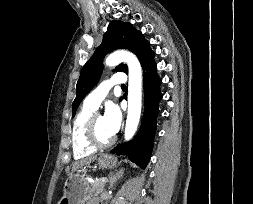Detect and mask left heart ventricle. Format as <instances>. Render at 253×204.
<instances>
[{
    "label": "left heart ventricle",
    "instance_id": "left-heart-ventricle-1",
    "mask_svg": "<svg viewBox=\"0 0 253 204\" xmlns=\"http://www.w3.org/2000/svg\"><path fill=\"white\" fill-rule=\"evenodd\" d=\"M96 131L99 139L102 141L108 140L111 138L113 135L108 131L105 121H104V116L98 115L96 118Z\"/></svg>",
    "mask_w": 253,
    "mask_h": 204
}]
</instances>
